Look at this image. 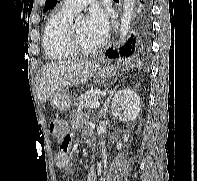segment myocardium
<instances>
[{
  "mask_svg": "<svg viewBox=\"0 0 197 181\" xmlns=\"http://www.w3.org/2000/svg\"><path fill=\"white\" fill-rule=\"evenodd\" d=\"M67 44L70 50H72L76 55L91 56V55L98 53L102 49L104 42L101 41L97 46L93 48L83 47L79 43L78 38H77L75 22H71L69 24L68 32H67Z\"/></svg>",
  "mask_w": 197,
  "mask_h": 181,
  "instance_id": "myocardium-1",
  "label": "myocardium"
}]
</instances>
